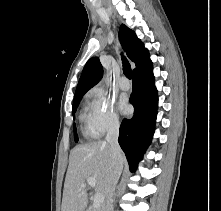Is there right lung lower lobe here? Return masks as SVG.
Returning a JSON list of instances; mask_svg holds the SVG:
<instances>
[{"label":"right lung lower lobe","mask_w":221,"mask_h":211,"mask_svg":"<svg viewBox=\"0 0 221 211\" xmlns=\"http://www.w3.org/2000/svg\"><path fill=\"white\" fill-rule=\"evenodd\" d=\"M130 103L134 116L124 119L118 142L124 151L131 171H134L148 148L155 130L158 107L152 65L133 74Z\"/></svg>","instance_id":"right-lung-lower-lobe-1"}]
</instances>
